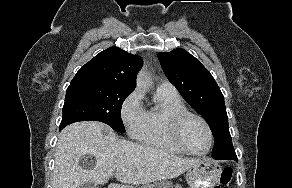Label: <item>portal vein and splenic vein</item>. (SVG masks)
Listing matches in <instances>:
<instances>
[{
    "label": "portal vein and splenic vein",
    "instance_id": "1",
    "mask_svg": "<svg viewBox=\"0 0 292 188\" xmlns=\"http://www.w3.org/2000/svg\"><path fill=\"white\" fill-rule=\"evenodd\" d=\"M118 171H125V169L124 168H120V169H118Z\"/></svg>",
    "mask_w": 292,
    "mask_h": 188
}]
</instances>
